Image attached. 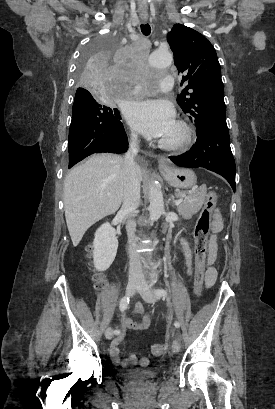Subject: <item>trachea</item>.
Returning <instances> with one entry per match:
<instances>
[{
    "mask_svg": "<svg viewBox=\"0 0 275 409\" xmlns=\"http://www.w3.org/2000/svg\"><path fill=\"white\" fill-rule=\"evenodd\" d=\"M141 31L144 35L148 36L151 32V27L148 23L141 25Z\"/></svg>",
    "mask_w": 275,
    "mask_h": 409,
    "instance_id": "3493384b",
    "label": "trachea"
}]
</instances>
